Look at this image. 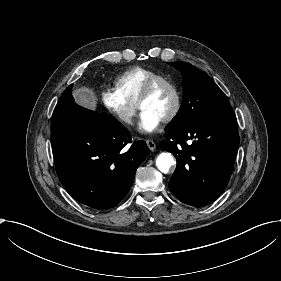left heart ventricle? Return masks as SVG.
<instances>
[{
    "label": "left heart ventricle",
    "mask_w": 281,
    "mask_h": 281,
    "mask_svg": "<svg viewBox=\"0 0 281 281\" xmlns=\"http://www.w3.org/2000/svg\"><path fill=\"white\" fill-rule=\"evenodd\" d=\"M174 103V96L171 89L166 85H160L141 105L145 110L158 118L161 122L170 113Z\"/></svg>",
    "instance_id": "b2bd125f"
}]
</instances>
